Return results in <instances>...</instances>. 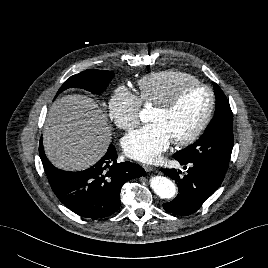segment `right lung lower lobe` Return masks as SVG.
<instances>
[{
  "label": "right lung lower lobe",
  "instance_id": "right-lung-lower-lobe-1",
  "mask_svg": "<svg viewBox=\"0 0 268 268\" xmlns=\"http://www.w3.org/2000/svg\"><path fill=\"white\" fill-rule=\"evenodd\" d=\"M39 150L44 152L42 141ZM116 159L115 147L110 145L106 154L84 171H62L47 158L41 160L51 188L61 203L82 217L97 219L115 213L120 206L123 184L145 174L140 165L117 163Z\"/></svg>",
  "mask_w": 268,
  "mask_h": 268
}]
</instances>
